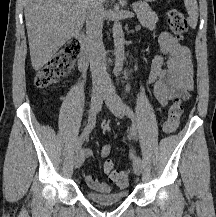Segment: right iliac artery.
Here are the masks:
<instances>
[{
  "mask_svg": "<svg viewBox=\"0 0 216 217\" xmlns=\"http://www.w3.org/2000/svg\"><path fill=\"white\" fill-rule=\"evenodd\" d=\"M95 124H96V111L94 109H91L90 113H89L88 123H87L84 131L80 135V137L77 139L76 151H78L81 148V146L84 143L85 139H87L89 133L95 127Z\"/></svg>",
  "mask_w": 216,
  "mask_h": 217,
  "instance_id": "1",
  "label": "right iliac artery"
}]
</instances>
